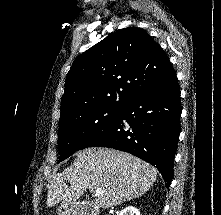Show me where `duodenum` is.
<instances>
[{"label": "duodenum", "instance_id": "obj_1", "mask_svg": "<svg viewBox=\"0 0 221 215\" xmlns=\"http://www.w3.org/2000/svg\"><path fill=\"white\" fill-rule=\"evenodd\" d=\"M78 215H97L96 211L94 209H91V210H87L85 212H82Z\"/></svg>", "mask_w": 221, "mask_h": 215}]
</instances>
